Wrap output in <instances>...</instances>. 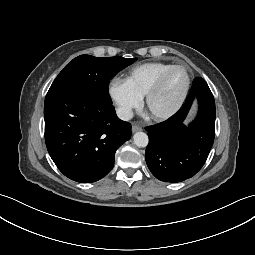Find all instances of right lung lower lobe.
Returning a JSON list of instances; mask_svg holds the SVG:
<instances>
[{"label": "right lung lower lobe", "mask_w": 255, "mask_h": 255, "mask_svg": "<svg viewBox=\"0 0 255 255\" xmlns=\"http://www.w3.org/2000/svg\"><path fill=\"white\" fill-rule=\"evenodd\" d=\"M45 142L58 169L71 180L92 183L114 166L116 150L131 137L112 104L75 90L48 92L44 103Z\"/></svg>", "instance_id": "1"}]
</instances>
